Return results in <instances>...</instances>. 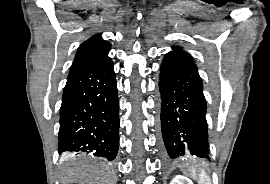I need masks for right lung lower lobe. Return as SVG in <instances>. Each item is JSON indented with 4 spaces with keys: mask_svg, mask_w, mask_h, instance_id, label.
I'll return each mask as SVG.
<instances>
[{
    "mask_svg": "<svg viewBox=\"0 0 270 184\" xmlns=\"http://www.w3.org/2000/svg\"><path fill=\"white\" fill-rule=\"evenodd\" d=\"M59 154L112 161L119 147V102L112 60L70 72L60 108Z\"/></svg>",
    "mask_w": 270,
    "mask_h": 184,
    "instance_id": "obj_1",
    "label": "right lung lower lobe"
}]
</instances>
